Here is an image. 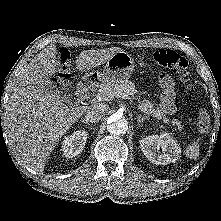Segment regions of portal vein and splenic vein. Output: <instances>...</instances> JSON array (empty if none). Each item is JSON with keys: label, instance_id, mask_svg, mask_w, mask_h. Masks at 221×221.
<instances>
[{"label": "portal vein and splenic vein", "instance_id": "18ae733b", "mask_svg": "<svg viewBox=\"0 0 221 221\" xmlns=\"http://www.w3.org/2000/svg\"><path fill=\"white\" fill-rule=\"evenodd\" d=\"M116 97H120V98H123V99H128V95L125 94V93H121V92H118V93L116 94ZM96 98H97L98 100H101V97H100V96H97Z\"/></svg>", "mask_w": 221, "mask_h": 221}]
</instances>
